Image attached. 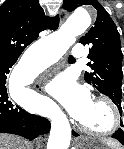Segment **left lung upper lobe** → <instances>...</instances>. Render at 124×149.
Returning a JSON list of instances; mask_svg holds the SVG:
<instances>
[{
    "mask_svg": "<svg viewBox=\"0 0 124 149\" xmlns=\"http://www.w3.org/2000/svg\"><path fill=\"white\" fill-rule=\"evenodd\" d=\"M81 5H92L97 10L94 27L80 39L83 45L91 46L88 54L91 62L87 65L92 70L85 72L84 79L108 96L122 114V51L117 27L97 0H64L67 11H73ZM120 125L124 127L122 122Z\"/></svg>",
    "mask_w": 124,
    "mask_h": 149,
    "instance_id": "1",
    "label": "left lung upper lobe"
}]
</instances>
